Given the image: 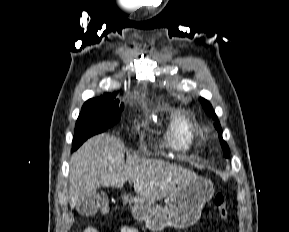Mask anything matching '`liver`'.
I'll list each match as a JSON object with an SVG mask.
<instances>
[{"label":"liver","instance_id":"obj_1","mask_svg":"<svg viewBox=\"0 0 289 232\" xmlns=\"http://www.w3.org/2000/svg\"><path fill=\"white\" fill-rule=\"evenodd\" d=\"M123 142L107 133L87 140L69 162V199L77 207L81 195L95 193L101 186L122 188L127 180L140 197L160 200L179 191L196 174L162 160L124 159Z\"/></svg>","mask_w":289,"mask_h":232}]
</instances>
